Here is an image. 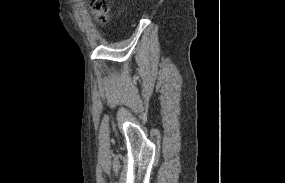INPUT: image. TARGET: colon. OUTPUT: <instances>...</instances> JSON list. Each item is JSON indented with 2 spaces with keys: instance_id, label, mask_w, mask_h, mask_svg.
Returning <instances> with one entry per match:
<instances>
[{
  "instance_id": "1",
  "label": "colon",
  "mask_w": 285,
  "mask_h": 183,
  "mask_svg": "<svg viewBox=\"0 0 285 183\" xmlns=\"http://www.w3.org/2000/svg\"><path fill=\"white\" fill-rule=\"evenodd\" d=\"M110 0H91V11L99 24H106L108 20Z\"/></svg>"
}]
</instances>
